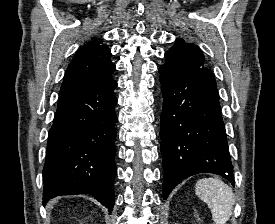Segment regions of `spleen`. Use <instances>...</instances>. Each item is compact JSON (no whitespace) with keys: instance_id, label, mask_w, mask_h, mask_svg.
<instances>
[{"instance_id":"3e777b00","label":"spleen","mask_w":275,"mask_h":224,"mask_svg":"<svg viewBox=\"0 0 275 224\" xmlns=\"http://www.w3.org/2000/svg\"><path fill=\"white\" fill-rule=\"evenodd\" d=\"M196 195L207 203L215 224H226L235 203L232 189L218 178H203L196 182Z\"/></svg>"}]
</instances>
